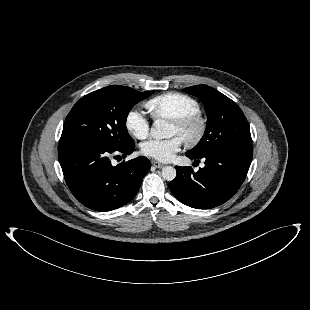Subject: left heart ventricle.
<instances>
[{"instance_id": "obj_1", "label": "left heart ventricle", "mask_w": 310, "mask_h": 310, "mask_svg": "<svg viewBox=\"0 0 310 310\" xmlns=\"http://www.w3.org/2000/svg\"><path fill=\"white\" fill-rule=\"evenodd\" d=\"M194 133V128L190 129L188 134H193ZM169 135H176L178 137H180L181 139L184 136V133L175 125L171 124L170 125V130H169Z\"/></svg>"}]
</instances>
